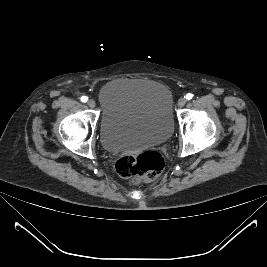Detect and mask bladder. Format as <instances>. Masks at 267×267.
<instances>
[{"mask_svg":"<svg viewBox=\"0 0 267 267\" xmlns=\"http://www.w3.org/2000/svg\"><path fill=\"white\" fill-rule=\"evenodd\" d=\"M100 139L109 152L166 142L174 128L173 98L162 83L120 78L107 82L98 94Z\"/></svg>","mask_w":267,"mask_h":267,"instance_id":"31cf9c89","label":"bladder"}]
</instances>
